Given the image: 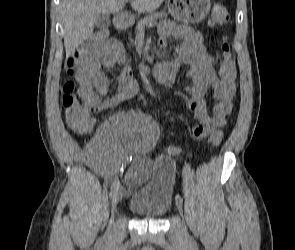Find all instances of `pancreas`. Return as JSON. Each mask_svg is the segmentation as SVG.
Masks as SVG:
<instances>
[{"label": "pancreas", "instance_id": "cf45deb5", "mask_svg": "<svg viewBox=\"0 0 295 250\" xmlns=\"http://www.w3.org/2000/svg\"><path fill=\"white\" fill-rule=\"evenodd\" d=\"M168 17L167 13L165 12H152L145 16L144 18L140 19V21L136 25V33L145 30V27L150 26V24H157V20H166Z\"/></svg>", "mask_w": 295, "mask_h": 250}]
</instances>
